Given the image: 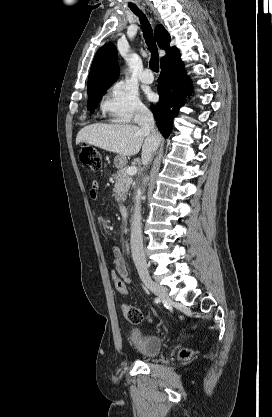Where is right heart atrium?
I'll return each instance as SVG.
<instances>
[{"instance_id": "d8ad5b80", "label": "right heart atrium", "mask_w": 272, "mask_h": 417, "mask_svg": "<svg viewBox=\"0 0 272 417\" xmlns=\"http://www.w3.org/2000/svg\"><path fill=\"white\" fill-rule=\"evenodd\" d=\"M102 109L110 120L116 123L134 122L148 114V109L142 103L138 92L122 81L109 88Z\"/></svg>"}]
</instances>
